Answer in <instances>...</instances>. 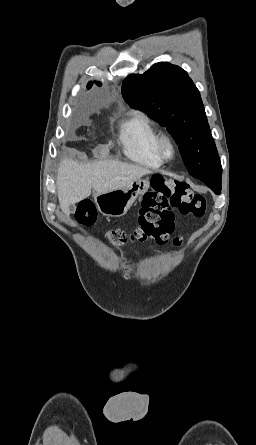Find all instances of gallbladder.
Instances as JSON below:
<instances>
[{"label":"gallbladder","mask_w":256,"mask_h":445,"mask_svg":"<svg viewBox=\"0 0 256 445\" xmlns=\"http://www.w3.org/2000/svg\"><path fill=\"white\" fill-rule=\"evenodd\" d=\"M69 211L73 213L75 211V205H70Z\"/></svg>","instance_id":"obj_1"}]
</instances>
